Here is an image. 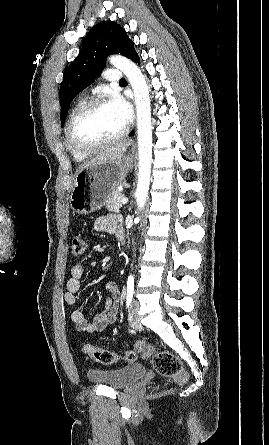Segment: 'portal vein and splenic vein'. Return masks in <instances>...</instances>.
<instances>
[{"label": "portal vein and splenic vein", "instance_id": "portal-vein-and-splenic-vein-1", "mask_svg": "<svg viewBox=\"0 0 269 445\" xmlns=\"http://www.w3.org/2000/svg\"><path fill=\"white\" fill-rule=\"evenodd\" d=\"M128 199L126 197L121 198V203L122 204H127Z\"/></svg>", "mask_w": 269, "mask_h": 445}]
</instances>
